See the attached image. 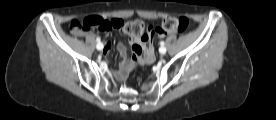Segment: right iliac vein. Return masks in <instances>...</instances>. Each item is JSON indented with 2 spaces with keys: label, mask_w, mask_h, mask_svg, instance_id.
I'll use <instances>...</instances> for the list:
<instances>
[{
  "label": "right iliac vein",
  "mask_w": 276,
  "mask_h": 120,
  "mask_svg": "<svg viewBox=\"0 0 276 120\" xmlns=\"http://www.w3.org/2000/svg\"><path fill=\"white\" fill-rule=\"evenodd\" d=\"M96 48H97L98 50H102V49H103V44L98 43L97 46H96Z\"/></svg>",
  "instance_id": "63e3f726"
}]
</instances>
